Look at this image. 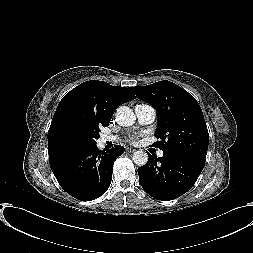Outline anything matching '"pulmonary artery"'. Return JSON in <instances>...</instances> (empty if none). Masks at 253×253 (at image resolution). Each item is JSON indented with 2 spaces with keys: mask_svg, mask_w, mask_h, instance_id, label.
<instances>
[{
  "mask_svg": "<svg viewBox=\"0 0 253 253\" xmlns=\"http://www.w3.org/2000/svg\"><path fill=\"white\" fill-rule=\"evenodd\" d=\"M135 113H136V117H137L138 122L142 125L151 124L156 119V111L149 104H145V103L137 104L135 106ZM116 140H117L116 136L105 135V136L101 137L100 142L102 144H105L106 142H112V141H116ZM157 155H158V157H163L164 152L162 150H159L157 152Z\"/></svg>",
  "mask_w": 253,
  "mask_h": 253,
  "instance_id": "1",
  "label": "pulmonary artery"
}]
</instances>
